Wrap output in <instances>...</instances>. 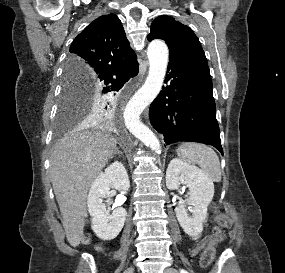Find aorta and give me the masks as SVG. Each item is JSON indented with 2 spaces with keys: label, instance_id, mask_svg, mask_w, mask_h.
<instances>
[{
  "label": "aorta",
  "instance_id": "aorta-1",
  "mask_svg": "<svg viewBox=\"0 0 285 273\" xmlns=\"http://www.w3.org/2000/svg\"><path fill=\"white\" fill-rule=\"evenodd\" d=\"M149 73L142 87L135 93L126 106L124 118L130 132L155 152L161 146L155 134L139 119L141 112L159 94L168 64V48L164 41L153 40L147 48Z\"/></svg>",
  "mask_w": 285,
  "mask_h": 273
}]
</instances>
